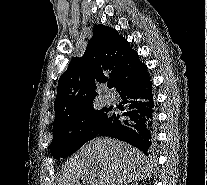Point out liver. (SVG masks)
Listing matches in <instances>:
<instances>
[{"mask_svg":"<svg viewBox=\"0 0 207 185\" xmlns=\"http://www.w3.org/2000/svg\"><path fill=\"white\" fill-rule=\"evenodd\" d=\"M152 169L144 153L117 139H93L67 161L63 185L93 179L94 185H127L147 179Z\"/></svg>","mask_w":207,"mask_h":185,"instance_id":"obj_1","label":"liver"}]
</instances>
